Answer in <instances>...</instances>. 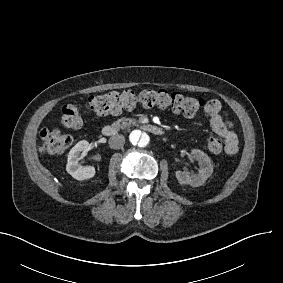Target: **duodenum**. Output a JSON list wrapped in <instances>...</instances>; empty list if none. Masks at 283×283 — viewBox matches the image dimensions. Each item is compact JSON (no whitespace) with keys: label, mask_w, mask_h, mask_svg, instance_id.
I'll return each instance as SVG.
<instances>
[{"label":"duodenum","mask_w":283,"mask_h":283,"mask_svg":"<svg viewBox=\"0 0 283 283\" xmlns=\"http://www.w3.org/2000/svg\"><path fill=\"white\" fill-rule=\"evenodd\" d=\"M140 128L150 134L153 135H162L164 133V130L156 125L153 124H140L139 125ZM123 128V125L121 124H112V125H105L101 132L102 135H104L105 137H111L114 136L116 134H118Z\"/></svg>","instance_id":"duodenum-1"}]
</instances>
